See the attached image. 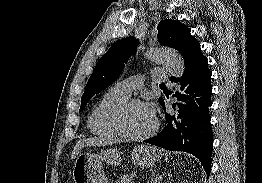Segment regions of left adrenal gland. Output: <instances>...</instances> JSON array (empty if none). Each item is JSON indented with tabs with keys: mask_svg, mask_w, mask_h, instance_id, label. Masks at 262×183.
<instances>
[{
	"mask_svg": "<svg viewBox=\"0 0 262 183\" xmlns=\"http://www.w3.org/2000/svg\"><path fill=\"white\" fill-rule=\"evenodd\" d=\"M161 178L160 175L156 174V172H152L151 183H157V181Z\"/></svg>",
	"mask_w": 262,
	"mask_h": 183,
	"instance_id": "a2214340",
	"label": "left adrenal gland"
}]
</instances>
